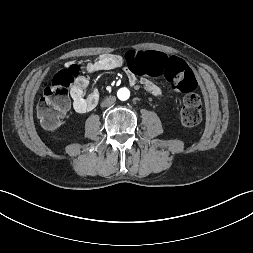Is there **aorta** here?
<instances>
[{"instance_id":"obj_1","label":"aorta","mask_w":253,"mask_h":253,"mask_svg":"<svg viewBox=\"0 0 253 253\" xmlns=\"http://www.w3.org/2000/svg\"><path fill=\"white\" fill-rule=\"evenodd\" d=\"M117 96L120 100H127L130 96V92L127 88H121L118 91Z\"/></svg>"}]
</instances>
